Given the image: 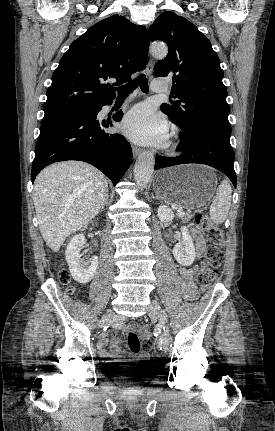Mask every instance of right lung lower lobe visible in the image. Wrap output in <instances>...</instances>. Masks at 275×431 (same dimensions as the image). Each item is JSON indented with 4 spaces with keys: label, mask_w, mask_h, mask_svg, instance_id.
I'll return each instance as SVG.
<instances>
[{
    "label": "right lung lower lobe",
    "mask_w": 275,
    "mask_h": 431,
    "mask_svg": "<svg viewBox=\"0 0 275 431\" xmlns=\"http://www.w3.org/2000/svg\"><path fill=\"white\" fill-rule=\"evenodd\" d=\"M87 106V111L54 110L46 112L32 163V183L47 165L64 160H79L101 170L116 185L132 163V149L120 134L107 133L109 119H97L101 108L110 104ZM123 112L113 116L122 119Z\"/></svg>",
    "instance_id": "right-lung-lower-lobe-1"
}]
</instances>
